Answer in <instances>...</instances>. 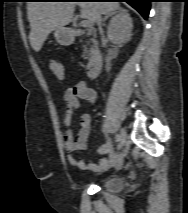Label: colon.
<instances>
[{"label": "colon", "mask_w": 188, "mask_h": 213, "mask_svg": "<svg viewBox=\"0 0 188 213\" xmlns=\"http://www.w3.org/2000/svg\"><path fill=\"white\" fill-rule=\"evenodd\" d=\"M50 68L51 71L53 72V74L59 78V79H63L64 78V69L62 64L57 61V60H51L50 61Z\"/></svg>", "instance_id": "1"}]
</instances>
